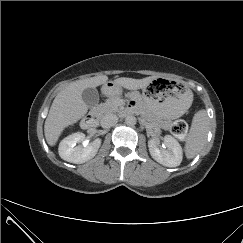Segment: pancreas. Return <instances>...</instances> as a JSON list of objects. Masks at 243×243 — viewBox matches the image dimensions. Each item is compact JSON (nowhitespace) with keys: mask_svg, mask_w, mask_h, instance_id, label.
Returning <instances> with one entry per match:
<instances>
[{"mask_svg":"<svg viewBox=\"0 0 243 243\" xmlns=\"http://www.w3.org/2000/svg\"><path fill=\"white\" fill-rule=\"evenodd\" d=\"M96 111L99 115L103 116L107 113H116L119 111V104H118V98H113L107 100L105 103L100 104ZM143 116L150 122L158 125L159 127L163 129H168L170 126V122L163 121L157 117H155L153 114L143 111Z\"/></svg>","mask_w":243,"mask_h":243,"instance_id":"cf45deb5","label":"pancreas"}]
</instances>
